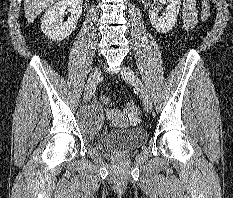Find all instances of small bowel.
Listing matches in <instances>:
<instances>
[{
    "instance_id": "obj_1",
    "label": "small bowel",
    "mask_w": 233,
    "mask_h": 198,
    "mask_svg": "<svg viewBox=\"0 0 233 198\" xmlns=\"http://www.w3.org/2000/svg\"><path fill=\"white\" fill-rule=\"evenodd\" d=\"M196 22L195 0H183V25L185 29H192Z\"/></svg>"
}]
</instances>
